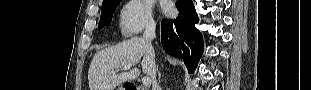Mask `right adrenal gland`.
<instances>
[{
  "instance_id": "right-adrenal-gland-1",
  "label": "right adrenal gland",
  "mask_w": 311,
  "mask_h": 90,
  "mask_svg": "<svg viewBox=\"0 0 311 90\" xmlns=\"http://www.w3.org/2000/svg\"><path fill=\"white\" fill-rule=\"evenodd\" d=\"M158 76H159V81H160V78H161V74H160V72H158Z\"/></svg>"
}]
</instances>
